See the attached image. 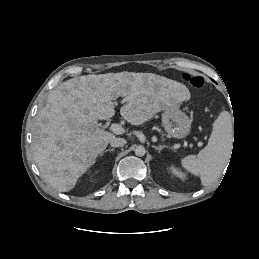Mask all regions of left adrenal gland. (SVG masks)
I'll return each mask as SVG.
<instances>
[{"instance_id":"1","label":"left adrenal gland","mask_w":259,"mask_h":259,"mask_svg":"<svg viewBox=\"0 0 259 259\" xmlns=\"http://www.w3.org/2000/svg\"><path fill=\"white\" fill-rule=\"evenodd\" d=\"M154 148L156 150H158V152H160L163 148H168V146H166V145H159V146H155Z\"/></svg>"}]
</instances>
